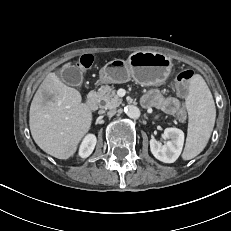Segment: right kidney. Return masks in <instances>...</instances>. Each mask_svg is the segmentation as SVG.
<instances>
[{"label": "right kidney", "instance_id": "1", "mask_svg": "<svg viewBox=\"0 0 231 231\" xmlns=\"http://www.w3.org/2000/svg\"><path fill=\"white\" fill-rule=\"evenodd\" d=\"M96 142V136L93 134H88L82 141L79 149V156L81 158H87L93 152Z\"/></svg>", "mask_w": 231, "mask_h": 231}]
</instances>
